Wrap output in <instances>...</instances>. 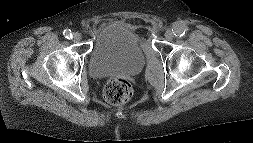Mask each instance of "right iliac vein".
Returning a JSON list of instances; mask_svg holds the SVG:
<instances>
[{
	"label": "right iliac vein",
	"instance_id": "1",
	"mask_svg": "<svg viewBox=\"0 0 253 143\" xmlns=\"http://www.w3.org/2000/svg\"><path fill=\"white\" fill-rule=\"evenodd\" d=\"M74 42H80L82 39V35L79 32H75L72 37Z\"/></svg>",
	"mask_w": 253,
	"mask_h": 143
}]
</instances>
